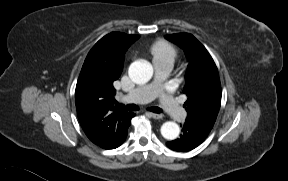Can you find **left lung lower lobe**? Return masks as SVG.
Returning a JSON list of instances; mask_svg holds the SVG:
<instances>
[{
    "instance_id": "obj_1",
    "label": "left lung lower lobe",
    "mask_w": 288,
    "mask_h": 181,
    "mask_svg": "<svg viewBox=\"0 0 288 181\" xmlns=\"http://www.w3.org/2000/svg\"><path fill=\"white\" fill-rule=\"evenodd\" d=\"M211 129L212 127L210 126L186 120L183 124V133L180 138L166 144L175 151H190L205 140Z\"/></svg>"
}]
</instances>
